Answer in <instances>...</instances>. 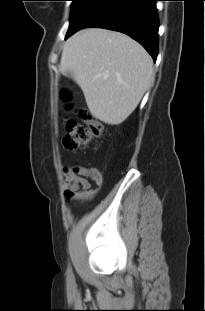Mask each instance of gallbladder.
Returning a JSON list of instances; mask_svg holds the SVG:
<instances>
[{
  "mask_svg": "<svg viewBox=\"0 0 205 311\" xmlns=\"http://www.w3.org/2000/svg\"><path fill=\"white\" fill-rule=\"evenodd\" d=\"M65 75L68 76V77H73V73L71 71H67L65 73Z\"/></svg>",
  "mask_w": 205,
  "mask_h": 311,
  "instance_id": "bac80fb5",
  "label": "gallbladder"
}]
</instances>
